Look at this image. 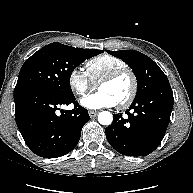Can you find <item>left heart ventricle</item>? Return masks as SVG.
I'll return each instance as SVG.
<instances>
[{
    "mask_svg": "<svg viewBox=\"0 0 193 193\" xmlns=\"http://www.w3.org/2000/svg\"><path fill=\"white\" fill-rule=\"evenodd\" d=\"M132 89V80L129 75H123L117 80L102 84L99 91L107 92L118 103L124 101Z\"/></svg>",
    "mask_w": 193,
    "mask_h": 193,
    "instance_id": "b2bd125f",
    "label": "left heart ventricle"
}]
</instances>
